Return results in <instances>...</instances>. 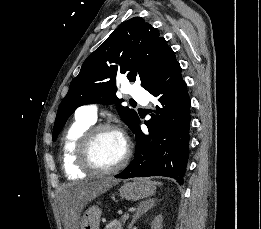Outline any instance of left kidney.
Listing matches in <instances>:
<instances>
[{
    "label": "left kidney",
    "instance_id": "5707ae66",
    "mask_svg": "<svg viewBox=\"0 0 261 229\" xmlns=\"http://www.w3.org/2000/svg\"><path fill=\"white\" fill-rule=\"evenodd\" d=\"M162 221H163L162 215H157V217H155L154 221H152L151 223V229H163Z\"/></svg>",
    "mask_w": 261,
    "mask_h": 229
}]
</instances>
